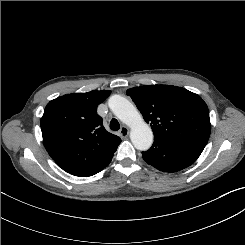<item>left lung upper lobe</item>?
I'll list each match as a JSON object with an SVG mask.
<instances>
[{"label":"left lung upper lobe","mask_w":245,"mask_h":245,"mask_svg":"<svg viewBox=\"0 0 245 245\" xmlns=\"http://www.w3.org/2000/svg\"><path fill=\"white\" fill-rule=\"evenodd\" d=\"M154 133V138L200 152L211 131L209 110L202 98L182 87L140 86L127 90Z\"/></svg>","instance_id":"obj_1"}]
</instances>
